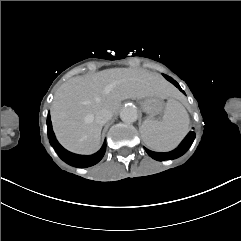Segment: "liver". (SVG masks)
<instances>
[{"instance_id":"1","label":"liver","mask_w":241,"mask_h":241,"mask_svg":"<svg viewBox=\"0 0 241 241\" xmlns=\"http://www.w3.org/2000/svg\"><path fill=\"white\" fill-rule=\"evenodd\" d=\"M170 97L169 84L159 74L118 68L72 77L54 95L52 122L59 141L68 149L91 153L100 146L102 125L87 123L88 114L102 109L114 116L127 99Z\"/></svg>"}]
</instances>
